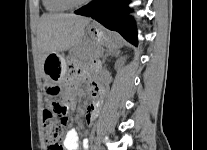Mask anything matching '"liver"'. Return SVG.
I'll list each match as a JSON object with an SVG mask.
<instances>
[{
  "label": "liver",
  "instance_id": "6515ba94",
  "mask_svg": "<svg viewBox=\"0 0 207 150\" xmlns=\"http://www.w3.org/2000/svg\"><path fill=\"white\" fill-rule=\"evenodd\" d=\"M91 20L73 14H44L38 26V49L41 71L44 61L52 53L77 47L83 40L85 27Z\"/></svg>",
  "mask_w": 207,
  "mask_h": 150
}]
</instances>
